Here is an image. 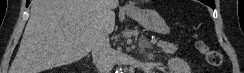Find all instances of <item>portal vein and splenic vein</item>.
I'll list each match as a JSON object with an SVG mask.
<instances>
[{
    "label": "portal vein and splenic vein",
    "mask_w": 244,
    "mask_h": 73,
    "mask_svg": "<svg viewBox=\"0 0 244 73\" xmlns=\"http://www.w3.org/2000/svg\"><path fill=\"white\" fill-rule=\"evenodd\" d=\"M151 43H157V40L156 39L151 40Z\"/></svg>",
    "instance_id": "portal-vein-and-splenic-vein-1"
}]
</instances>
